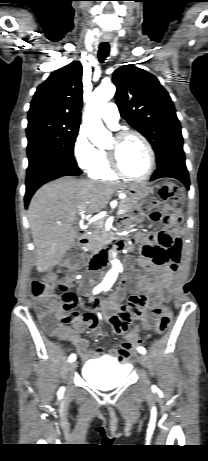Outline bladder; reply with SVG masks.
<instances>
[{
  "label": "bladder",
  "instance_id": "obj_1",
  "mask_svg": "<svg viewBox=\"0 0 208 461\" xmlns=\"http://www.w3.org/2000/svg\"><path fill=\"white\" fill-rule=\"evenodd\" d=\"M129 371L128 365L103 357L89 360L83 367L82 375L93 386L109 390L121 384Z\"/></svg>",
  "mask_w": 208,
  "mask_h": 461
}]
</instances>
